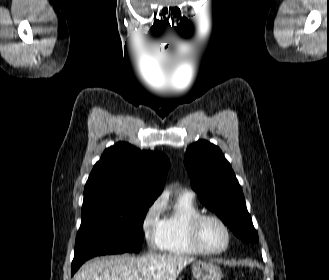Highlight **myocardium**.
I'll use <instances>...</instances> for the list:
<instances>
[{
  "label": "myocardium",
  "instance_id": "myocardium-1",
  "mask_svg": "<svg viewBox=\"0 0 329 280\" xmlns=\"http://www.w3.org/2000/svg\"><path fill=\"white\" fill-rule=\"evenodd\" d=\"M206 220L216 221L224 229L227 239H226V244L222 248L217 249V250H210V249H207L202 244L201 239H200V230H201L202 224ZM188 235H189V240H190L191 245L193 246L194 250L199 254H203V255H207V256H217V255L223 254L224 252H226L229 249V247L231 246V243H232V232H231L229 226L220 216L213 214V213H200V214L194 216L189 223Z\"/></svg>",
  "mask_w": 329,
  "mask_h": 280
}]
</instances>
